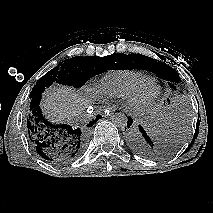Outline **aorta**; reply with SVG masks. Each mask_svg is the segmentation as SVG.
I'll use <instances>...</instances> for the list:
<instances>
[{
	"label": "aorta",
	"instance_id": "obj_1",
	"mask_svg": "<svg viewBox=\"0 0 213 213\" xmlns=\"http://www.w3.org/2000/svg\"><path fill=\"white\" fill-rule=\"evenodd\" d=\"M112 122L120 128L127 126L128 118L124 113H116L113 115Z\"/></svg>",
	"mask_w": 213,
	"mask_h": 213
}]
</instances>
